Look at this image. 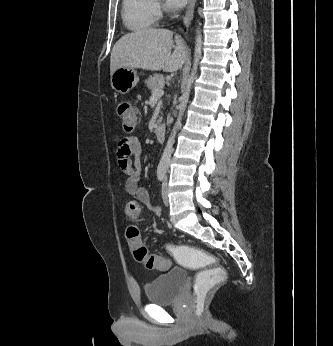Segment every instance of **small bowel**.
<instances>
[{
	"mask_svg": "<svg viewBox=\"0 0 333 346\" xmlns=\"http://www.w3.org/2000/svg\"><path fill=\"white\" fill-rule=\"evenodd\" d=\"M142 154V144L138 138H122L116 148V160L122 173L127 177L124 183L125 192L144 205L152 213L159 215L161 209L152 204L145 188L139 185L141 163L139 157ZM134 156L132 163L130 157Z\"/></svg>",
	"mask_w": 333,
	"mask_h": 346,
	"instance_id": "1",
	"label": "small bowel"
}]
</instances>
